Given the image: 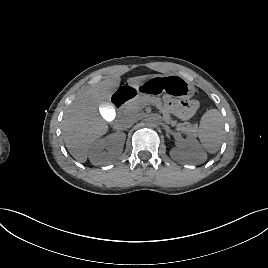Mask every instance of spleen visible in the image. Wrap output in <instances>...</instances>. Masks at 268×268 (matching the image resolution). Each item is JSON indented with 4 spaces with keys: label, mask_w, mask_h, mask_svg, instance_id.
<instances>
[{
    "label": "spleen",
    "mask_w": 268,
    "mask_h": 268,
    "mask_svg": "<svg viewBox=\"0 0 268 268\" xmlns=\"http://www.w3.org/2000/svg\"><path fill=\"white\" fill-rule=\"evenodd\" d=\"M224 121L217 109H210L201 117L198 137L203 148L213 154L216 153L223 141Z\"/></svg>",
    "instance_id": "obj_1"
}]
</instances>
